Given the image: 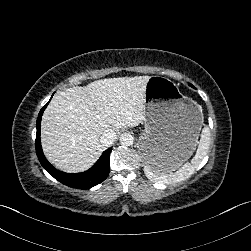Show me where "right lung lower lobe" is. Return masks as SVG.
I'll return each mask as SVG.
<instances>
[{"mask_svg": "<svg viewBox=\"0 0 251 251\" xmlns=\"http://www.w3.org/2000/svg\"><path fill=\"white\" fill-rule=\"evenodd\" d=\"M48 103L41 109L36 123L37 127L36 142H35L36 153L41 165L56 180L69 187L77 189H89L103 182L108 177L110 172L109 156L112 148H109L108 150L104 151L102 156L95 163V165L89 170L82 173L69 174L58 171L47 161L41 148L40 125H41L42 114Z\"/></svg>", "mask_w": 251, "mask_h": 251, "instance_id": "obj_1", "label": "right lung lower lobe"}]
</instances>
